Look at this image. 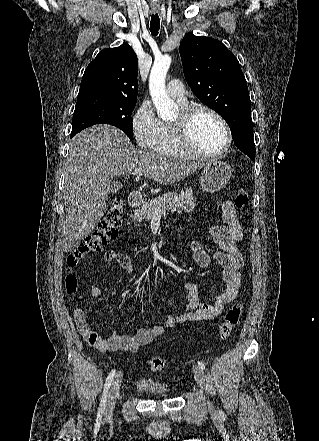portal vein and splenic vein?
<instances>
[{
    "mask_svg": "<svg viewBox=\"0 0 319 441\" xmlns=\"http://www.w3.org/2000/svg\"><path fill=\"white\" fill-rule=\"evenodd\" d=\"M143 172V170L141 168H135L134 169V173L137 175H141V173ZM155 214H161L159 209H156Z\"/></svg>",
    "mask_w": 319,
    "mask_h": 441,
    "instance_id": "18ae733b",
    "label": "portal vein and splenic vein"
}]
</instances>
